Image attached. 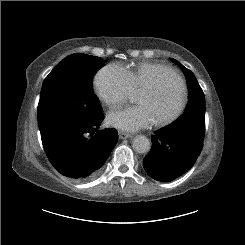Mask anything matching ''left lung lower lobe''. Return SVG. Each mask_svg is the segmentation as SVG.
Segmentation results:
<instances>
[{"instance_id":"left-lung-lower-lobe-1","label":"left lung lower lobe","mask_w":245,"mask_h":245,"mask_svg":"<svg viewBox=\"0 0 245 245\" xmlns=\"http://www.w3.org/2000/svg\"><path fill=\"white\" fill-rule=\"evenodd\" d=\"M152 147L143 160L146 173L161 182L185 174L200 155L203 142L186 134L158 130L151 137Z\"/></svg>"}]
</instances>
